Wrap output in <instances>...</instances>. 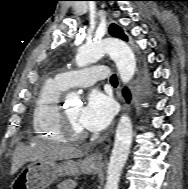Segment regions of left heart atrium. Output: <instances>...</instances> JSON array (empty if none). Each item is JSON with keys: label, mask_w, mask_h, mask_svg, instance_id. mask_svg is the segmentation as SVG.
I'll use <instances>...</instances> for the list:
<instances>
[{"label": "left heart atrium", "mask_w": 188, "mask_h": 189, "mask_svg": "<svg viewBox=\"0 0 188 189\" xmlns=\"http://www.w3.org/2000/svg\"><path fill=\"white\" fill-rule=\"evenodd\" d=\"M113 115L111 99L99 90L89 93L79 115L80 125L89 131L98 132L105 129Z\"/></svg>", "instance_id": "39dd6f15"}]
</instances>
